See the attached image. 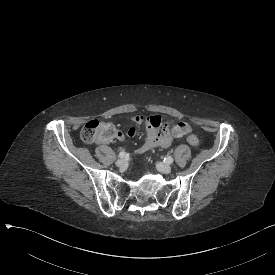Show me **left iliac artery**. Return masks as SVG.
<instances>
[{
  "label": "left iliac artery",
  "mask_w": 275,
  "mask_h": 275,
  "mask_svg": "<svg viewBox=\"0 0 275 275\" xmlns=\"http://www.w3.org/2000/svg\"><path fill=\"white\" fill-rule=\"evenodd\" d=\"M164 161L168 164H171V163H173L174 160L171 156H168V157H165Z\"/></svg>",
  "instance_id": "44dca946"
}]
</instances>
